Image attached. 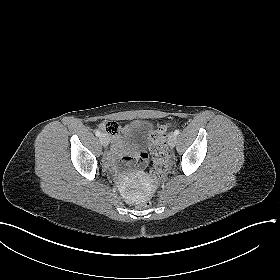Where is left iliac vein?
<instances>
[{"instance_id":"4c4485c4","label":"left iliac vein","mask_w":280,"mask_h":280,"mask_svg":"<svg viewBox=\"0 0 280 280\" xmlns=\"http://www.w3.org/2000/svg\"><path fill=\"white\" fill-rule=\"evenodd\" d=\"M176 141H177L176 135L173 134V133L170 134L169 137H168V145H169V147H171V148L175 147Z\"/></svg>"}]
</instances>
